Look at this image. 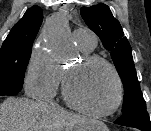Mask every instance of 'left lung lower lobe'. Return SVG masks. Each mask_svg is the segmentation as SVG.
<instances>
[{"mask_svg": "<svg viewBox=\"0 0 151 131\" xmlns=\"http://www.w3.org/2000/svg\"><path fill=\"white\" fill-rule=\"evenodd\" d=\"M114 123L122 126L137 128L141 131H151V121L146 109L135 110L122 114Z\"/></svg>", "mask_w": 151, "mask_h": 131, "instance_id": "left-lung-lower-lobe-1", "label": "left lung lower lobe"}]
</instances>
